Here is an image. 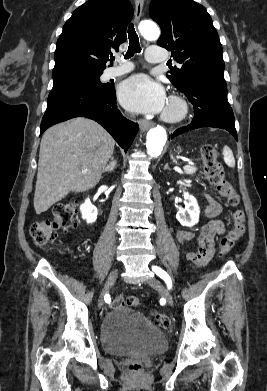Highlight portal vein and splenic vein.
Returning a JSON list of instances; mask_svg holds the SVG:
<instances>
[{"instance_id":"1","label":"portal vein and splenic vein","mask_w":267,"mask_h":391,"mask_svg":"<svg viewBox=\"0 0 267 391\" xmlns=\"http://www.w3.org/2000/svg\"><path fill=\"white\" fill-rule=\"evenodd\" d=\"M188 164H191V165H193L194 163H193V162H191V161H189V162H188ZM85 172H86V170H83V171H82V173H85Z\"/></svg>"}]
</instances>
